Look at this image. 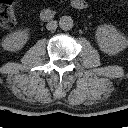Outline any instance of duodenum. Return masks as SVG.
Listing matches in <instances>:
<instances>
[{"mask_svg":"<svg viewBox=\"0 0 128 128\" xmlns=\"http://www.w3.org/2000/svg\"><path fill=\"white\" fill-rule=\"evenodd\" d=\"M70 5L75 10H84L87 7V3L85 0H70ZM40 18L43 21H52L55 18V12L51 9H44L40 13Z\"/></svg>","mask_w":128,"mask_h":128,"instance_id":"obj_1","label":"duodenum"}]
</instances>
